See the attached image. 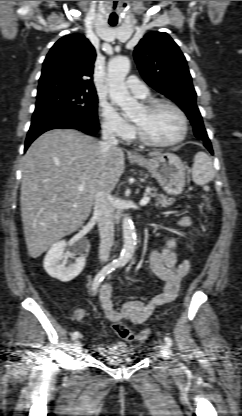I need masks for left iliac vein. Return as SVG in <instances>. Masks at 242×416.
Returning <instances> with one entry per match:
<instances>
[{"label": "left iliac vein", "instance_id": "4c4485c4", "mask_svg": "<svg viewBox=\"0 0 242 416\" xmlns=\"http://www.w3.org/2000/svg\"><path fill=\"white\" fill-rule=\"evenodd\" d=\"M159 349L164 354H169L170 353L169 347L163 342H160Z\"/></svg>", "mask_w": 242, "mask_h": 416}]
</instances>
